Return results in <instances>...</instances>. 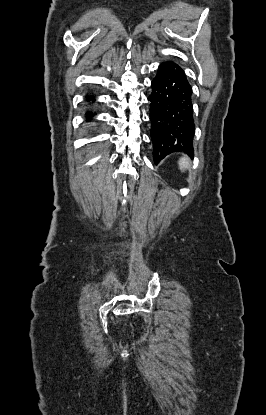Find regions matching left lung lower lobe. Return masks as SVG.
<instances>
[{
	"mask_svg": "<svg viewBox=\"0 0 266 415\" xmlns=\"http://www.w3.org/2000/svg\"><path fill=\"white\" fill-rule=\"evenodd\" d=\"M151 86L148 100L155 164L174 152L192 156L193 92L184 70L171 61L162 63Z\"/></svg>",
	"mask_w": 266,
	"mask_h": 415,
	"instance_id": "left-lung-lower-lobe-1",
	"label": "left lung lower lobe"
}]
</instances>
